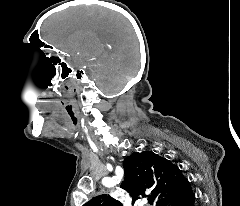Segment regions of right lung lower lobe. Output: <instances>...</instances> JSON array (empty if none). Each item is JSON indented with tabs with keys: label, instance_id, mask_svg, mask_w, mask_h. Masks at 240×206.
<instances>
[{
	"label": "right lung lower lobe",
	"instance_id": "right-lung-lower-lobe-1",
	"mask_svg": "<svg viewBox=\"0 0 240 206\" xmlns=\"http://www.w3.org/2000/svg\"><path fill=\"white\" fill-rule=\"evenodd\" d=\"M195 195L188 184L178 194L164 200L159 206H194Z\"/></svg>",
	"mask_w": 240,
	"mask_h": 206
}]
</instances>
